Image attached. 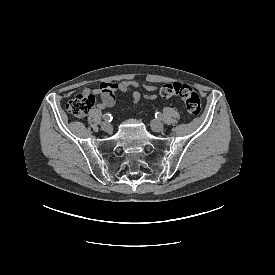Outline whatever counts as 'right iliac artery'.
<instances>
[{"instance_id":"right-iliac-artery-1","label":"right iliac artery","mask_w":275,"mask_h":275,"mask_svg":"<svg viewBox=\"0 0 275 275\" xmlns=\"http://www.w3.org/2000/svg\"><path fill=\"white\" fill-rule=\"evenodd\" d=\"M103 119L107 120V121H111L112 120V116H111V114H104L103 115Z\"/></svg>"}]
</instances>
